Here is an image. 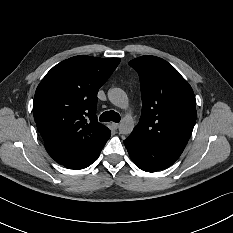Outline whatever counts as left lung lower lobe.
I'll use <instances>...</instances> for the list:
<instances>
[{"mask_svg":"<svg viewBox=\"0 0 233 233\" xmlns=\"http://www.w3.org/2000/svg\"><path fill=\"white\" fill-rule=\"evenodd\" d=\"M124 144L135 164L147 172L164 169L172 165L181 155L149 143L134 133H131Z\"/></svg>","mask_w":233,"mask_h":233,"instance_id":"left-lung-lower-lobe-1","label":"left lung lower lobe"}]
</instances>
